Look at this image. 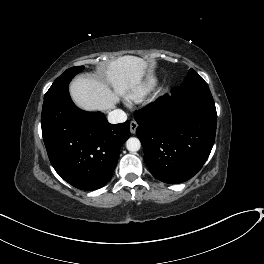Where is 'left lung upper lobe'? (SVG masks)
Returning a JSON list of instances; mask_svg holds the SVG:
<instances>
[{
    "label": "left lung upper lobe",
    "mask_w": 264,
    "mask_h": 264,
    "mask_svg": "<svg viewBox=\"0 0 264 264\" xmlns=\"http://www.w3.org/2000/svg\"><path fill=\"white\" fill-rule=\"evenodd\" d=\"M196 83H206L204 79L198 75L193 69H190L188 71V74L186 75L183 83L181 85L185 84H196Z\"/></svg>",
    "instance_id": "obj_1"
}]
</instances>
